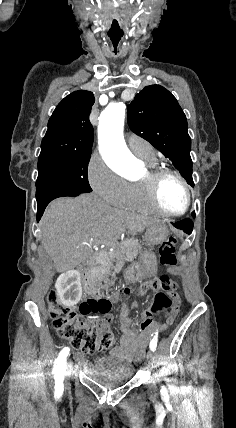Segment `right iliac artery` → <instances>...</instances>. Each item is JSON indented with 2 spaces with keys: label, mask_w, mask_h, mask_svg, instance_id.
<instances>
[{
  "label": "right iliac artery",
  "mask_w": 236,
  "mask_h": 428,
  "mask_svg": "<svg viewBox=\"0 0 236 428\" xmlns=\"http://www.w3.org/2000/svg\"><path fill=\"white\" fill-rule=\"evenodd\" d=\"M70 349L68 347L63 348L58 358L54 362L53 366V373L54 374H64L65 372V366H66V359L69 354Z\"/></svg>",
  "instance_id": "82829eb1"
}]
</instances>
